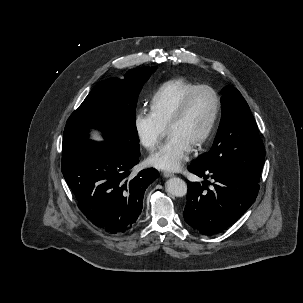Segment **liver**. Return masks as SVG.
Wrapping results in <instances>:
<instances>
[{
	"mask_svg": "<svg viewBox=\"0 0 303 303\" xmlns=\"http://www.w3.org/2000/svg\"><path fill=\"white\" fill-rule=\"evenodd\" d=\"M95 140H102L99 136L95 135L94 138Z\"/></svg>",
	"mask_w": 303,
	"mask_h": 303,
	"instance_id": "obj_1",
	"label": "liver"
}]
</instances>
